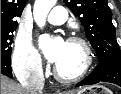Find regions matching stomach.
<instances>
[{"instance_id":"stomach-1","label":"stomach","mask_w":121,"mask_h":94,"mask_svg":"<svg viewBox=\"0 0 121 94\" xmlns=\"http://www.w3.org/2000/svg\"><path fill=\"white\" fill-rule=\"evenodd\" d=\"M77 94H113V93L102 85H94L79 91Z\"/></svg>"}]
</instances>
